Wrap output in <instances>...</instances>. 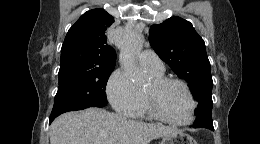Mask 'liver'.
Listing matches in <instances>:
<instances>
[{"label":"liver","instance_id":"1","mask_svg":"<svg viewBox=\"0 0 260 144\" xmlns=\"http://www.w3.org/2000/svg\"><path fill=\"white\" fill-rule=\"evenodd\" d=\"M178 130L142 123L98 108L69 112L50 126V144H149Z\"/></svg>","mask_w":260,"mask_h":144}]
</instances>
